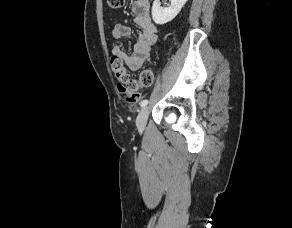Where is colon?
<instances>
[{
  "label": "colon",
  "mask_w": 292,
  "mask_h": 228,
  "mask_svg": "<svg viewBox=\"0 0 292 228\" xmlns=\"http://www.w3.org/2000/svg\"><path fill=\"white\" fill-rule=\"evenodd\" d=\"M125 0H106L112 10H118L124 5ZM112 70L118 79V90L129 103H137L141 99L140 90L148 88L153 83V72L150 68L143 69L137 79H133L121 63H112Z\"/></svg>",
  "instance_id": "colon-1"
}]
</instances>
